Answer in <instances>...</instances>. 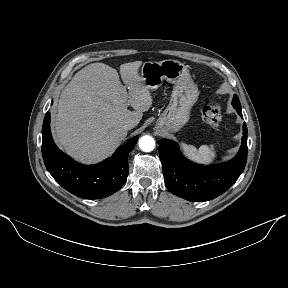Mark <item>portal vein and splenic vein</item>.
I'll use <instances>...</instances> for the list:
<instances>
[{"mask_svg": "<svg viewBox=\"0 0 288 288\" xmlns=\"http://www.w3.org/2000/svg\"><path fill=\"white\" fill-rule=\"evenodd\" d=\"M123 97H124V100H127L128 99V94L126 92V90L124 89L123 91Z\"/></svg>", "mask_w": 288, "mask_h": 288, "instance_id": "1", "label": "portal vein and splenic vein"}]
</instances>
